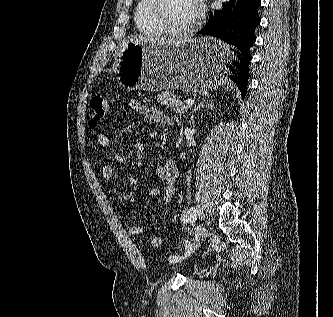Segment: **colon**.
Instances as JSON below:
<instances>
[{
	"label": "colon",
	"instance_id": "obj_1",
	"mask_svg": "<svg viewBox=\"0 0 333 317\" xmlns=\"http://www.w3.org/2000/svg\"><path fill=\"white\" fill-rule=\"evenodd\" d=\"M90 109L89 125L91 128H96L109 111V100L104 96H94L90 100ZM151 244L155 247L159 246L161 238L154 236Z\"/></svg>",
	"mask_w": 333,
	"mask_h": 317
}]
</instances>
